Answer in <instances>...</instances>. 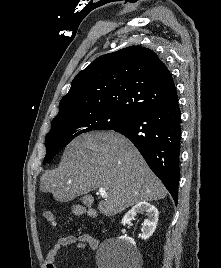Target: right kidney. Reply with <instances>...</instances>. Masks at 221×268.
<instances>
[{
	"label": "right kidney",
	"mask_w": 221,
	"mask_h": 268,
	"mask_svg": "<svg viewBox=\"0 0 221 268\" xmlns=\"http://www.w3.org/2000/svg\"><path fill=\"white\" fill-rule=\"evenodd\" d=\"M138 213H146L148 218L144 220L142 227V236L143 240L148 239L154 233L156 225L158 222V210L155 206L151 205L148 202H140L136 204L131 210H129L123 217L121 224L126 225L129 223ZM120 239L126 244L135 245V241L125 236H121Z\"/></svg>",
	"instance_id": "obj_1"
}]
</instances>
